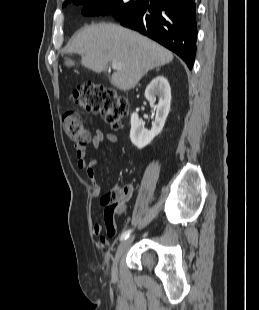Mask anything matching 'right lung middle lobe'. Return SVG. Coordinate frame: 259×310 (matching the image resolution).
Segmentation results:
<instances>
[{
	"label": "right lung middle lobe",
	"instance_id": "obj_1",
	"mask_svg": "<svg viewBox=\"0 0 259 310\" xmlns=\"http://www.w3.org/2000/svg\"><path fill=\"white\" fill-rule=\"evenodd\" d=\"M71 1L65 2L62 7L66 6ZM74 3H82L84 8L82 13L84 15H105L112 14V16L119 20L126 13L132 10L137 2H124L123 0H97V1H84L73 0Z\"/></svg>",
	"mask_w": 259,
	"mask_h": 310
}]
</instances>
